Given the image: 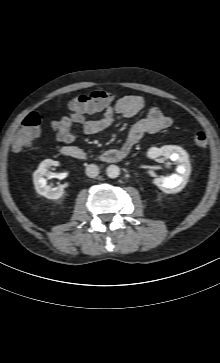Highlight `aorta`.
<instances>
[{
	"label": "aorta",
	"mask_w": 220,
	"mask_h": 363,
	"mask_svg": "<svg viewBox=\"0 0 220 363\" xmlns=\"http://www.w3.org/2000/svg\"><path fill=\"white\" fill-rule=\"evenodd\" d=\"M106 174L109 178H117L120 174V169L117 165H109L106 169Z\"/></svg>",
	"instance_id": "aorta-1"
}]
</instances>
